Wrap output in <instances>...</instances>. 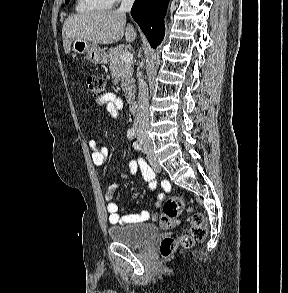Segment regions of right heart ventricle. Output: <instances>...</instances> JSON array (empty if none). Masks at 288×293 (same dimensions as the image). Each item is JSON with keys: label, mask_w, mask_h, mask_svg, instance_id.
I'll use <instances>...</instances> for the list:
<instances>
[{"label": "right heart ventricle", "mask_w": 288, "mask_h": 293, "mask_svg": "<svg viewBox=\"0 0 288 293\" xmlns=\"http://www.w3.org/2000/svg\"><path fill=\"white\" fill-rule=\"evenodd\" d=\"M113 5L111 0H77L75 9L80 13H88L110 9Z\"/></svg>", "instance_id": "obj_1"}]
</instances>
